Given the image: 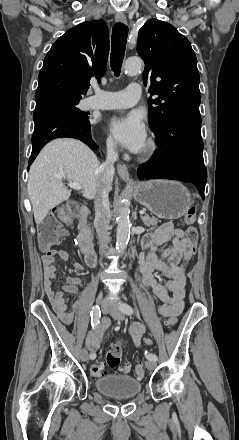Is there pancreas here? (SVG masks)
Returning a JSON list of instances; mask_svg holds the SVG:
<instances>
[{"mask_svg": "<svg viewBox=\"0 0 239 440\" xmlns=\"http://www.w3.org/2000/svg\"><path fill=\"white\" fill-rule=\"evenodd\" d=\"M143 224L145 226H157L158 222H161V220H158V218H154V216H149V214H145V216H142Z\"/></svg>", "mask_w": 239, "mask_h": 440, "instance_id": "pancreas-1", "label": "pancreas"}]
</instances>
